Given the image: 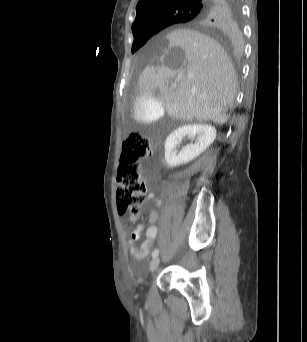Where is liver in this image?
<instances>
[{
    "mask_svg": "<svg viewBox=\"0 0 307 342\" xmlns=\"http://www.w3.org/2000/svg\"><path fill=\"white\" fill-rule=\"evenodd\" d=\"M188 74H193L188 78ZM169 80L177 82L176 88ZM236 74L222 46L195 30H173L157 44L139 78V95L161 92L170 118L226 124L236 92Z\"/></svg>",
    "mask_w": 307,
    "mask_h": 342,
    "instance_id": "liver-1",
    "label": "liver"
}]
</instances>
